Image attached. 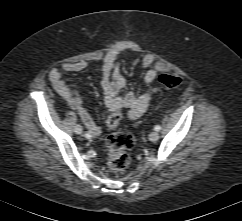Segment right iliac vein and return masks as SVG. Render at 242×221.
I'll return each mask as SVG.
<instances>
[{"label":"right iliac vein","mask_w":242,"mask_h":221,"mask_svg":"<svg viewBox=\"0 0 242 221\" xmlns=\"http://www.w3.org/2000/svg\"><path fill=\"white\" fill-rule=\"evenodd\" d=\"M75 132H76L77 134H82V132H83L82 127H81L80 125H77V126L75 127Z\"/></svg>","instance_id":"63e3f726"}]
</instances>
